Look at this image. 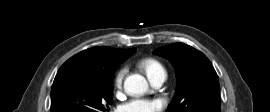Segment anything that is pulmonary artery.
<instances>
[{
  "instance_id": "1",
  "label": "pulmonary artery",
  "mask_w": 270,
  "mask_h": 112,
  "mask_svg": "<svg viewBox=\"0 0 270 112\" xmlns=\"http://www.w3.org/2000/svg\"><path fill=\"white\" fill-rule=\"evenodd\" d=\"M165 79H166V75L165 74H160V75H157L156 77L150 79V82L155 87H159L164 83Z\"/></svg>"
}]
</instances>
